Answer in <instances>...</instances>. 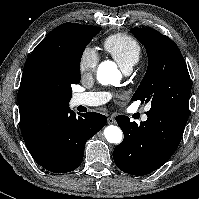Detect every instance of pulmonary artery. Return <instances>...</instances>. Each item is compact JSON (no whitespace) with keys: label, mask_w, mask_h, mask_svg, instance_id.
I'll return each instance as SVG.
<instances>
[{"label":"pulmonary artery","mask_w":199,"mask_h":199,"mask_svg":"<svg viewBox=\"0 0 199 199\" xmlns=\"http://www.w3.org/2000/svg\"><path fill=\"white\" fill-rule=\"evenodd\" d=\"M125 74H129L131 72V68L123 69ZM109 98L107 93L102 92H84L77 93L73 95L71 99V106H97L105 103ZM147 120V115L144 114L142 116V121Z\"/></svg>","instance_id":"pulmonary-artery-1"}]
</instances>
